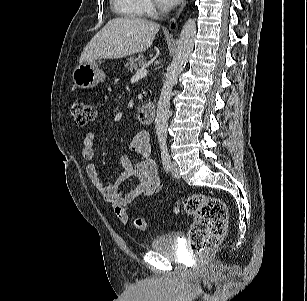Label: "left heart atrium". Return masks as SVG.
Returning <instances> with one entry per match:
<instances>
[{
	"label": "left heart atrium",
	"instance_id": "obj_1",
	"mask_svg": "<svg viewBox=\"0 0 307 301\" xmlns=\"http://www.w3.org/2000/svg\"><path fill=\"white\" fill-rule=\"evenodd\" d=\"M157 1L163 7L171 8L176 6L181 0H157Z\"/></svg>",
	"mask_w": 307,
	"mask_h": 301
}]
</instances>
